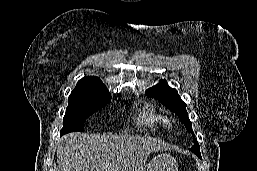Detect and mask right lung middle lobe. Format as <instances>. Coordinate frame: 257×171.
Here are the masks:
<instances>
[{"label": "right lung middle lobe", "instance_id": "dd1d6c3e", "mask_svg": "<svg viewBox=\"0 0 257 171\" xmlns=\"http://www.w3.org/2000/svg\"><path fill=\"white\" fill-rule=\"evenodd\" d=\"M68 107L63 118L61 135L75 131H84L83 124L94 112L102 109L111 101V95L105 91L74 89L68 98Z\"/></svg>", "mask_w": 257, "mask_h": 171}]
</instances>
